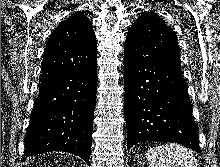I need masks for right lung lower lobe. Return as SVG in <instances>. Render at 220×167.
Instances as JSON below:
<instances>
[{"label": "right lung lower lobe", "mask_w": 220, "mask_h": 167, "mask_svg": "<svg viewBox=\"0 0 220 167\" xmlns=\"http://www.w3.org/2000/svg\"><path fill=\"white\" fill-rule=\"evenodd\" d=\"M97 90V64L40 84L22 159L51 151L80 156L89 165Z\"/></svg>", "instance_id": "right-lung-lower-lobe-1"}]
</instances>
